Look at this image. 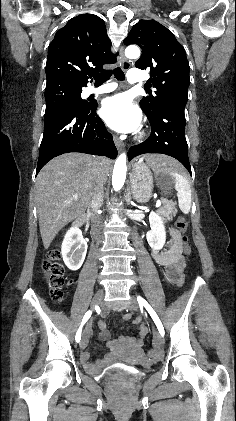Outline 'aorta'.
Masks as SVG:
<instances>
[{
  "label": "aorta",
  "instance_id": "aorta-1",
  "mask_svg": "<svg viewBox=\"0 0 236 421\" xmlns=\"http://www.w3.org/2000/svg\"><path fill=\"white\" fill-rule=\"evenodd\" d=\"M125 54L128 58H138L140 56V48L135 46V44H130L125 48ZM127 158L125 152H121L119 154L117 160H115L113 176H112V184L114 190H120L122 188L127 172Z\"/></svg>",
  "mask_w": 236,
  "mask_h": 421
}]
</instances>
